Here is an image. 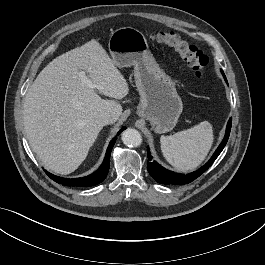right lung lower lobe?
I'll return each instance as SVG.
<instances>
[{
	"label": "right lung lower lobe",
	"instance_id": "right-lung-lower-lobe-1",
	"mask_svg": "<svg viewBox=\"0 0 265 265\" xmlns=\"http://www.w3.org/2000/svg\"><path fill=\"white\" fill-rule=\"evenodd\" d=\"M125 129L122 128L117 135H119L123 130ZM116 138H114L106 151V155L105 158L103 160V163L101 164V166L98 168V170H96L94 173H92L89 176H85L82 178H73V179H68V178H62L59 176H55L47 171L46 174L55 182L65 185V186H74V187H90V186H95L99 183H101L107 176L108 171H109V163H110V154L112 151V148L115 144Z\"/></svg>",
	"mask_w": 265,
	"mask_h": 265
}]
</instances>
